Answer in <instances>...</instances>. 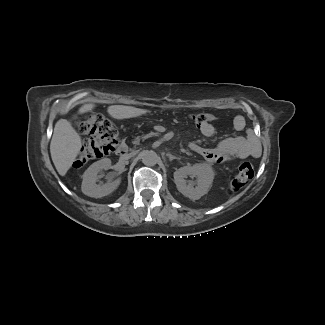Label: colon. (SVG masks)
<instances>
[{
    "mask_svg": "<svg viewBox=\"0 0 325 325\" xmlns=\"http://www.w3.org/2000/svg\"><path fill=\"white\" fill-rule=\"evenodd\" d=\"M194 124L199 128L205 123L216 120L213 114L201 113L191 116ZM78 130L87 135L75 164L81 166L84 163L107 156L114 152L119 145L118 133L111 121L106 117L93 114L77 123ZM254 176V166L246 161L240 164L237 173L230 183L231 191H239L245 187Z\"/></svg>",
    "mask_w": 325,
    "mask_h": 325,
    "instance_id": "colon-1",
    "label": "colon"
}]
</instances>
